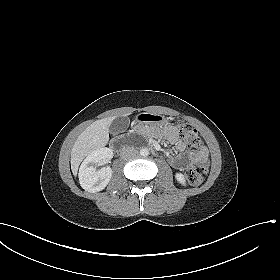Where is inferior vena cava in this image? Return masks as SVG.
Segmentation results:
<instances>
[{"instance_id": "602c4592", "label": "inferior vena cava", "mask_w": 280, "mask_h": 280, "mask_svg": "<svg viewBox=\"0 0 280 280\" xmlns=\"http://www.w3.org/2000/svg\"><path fill=\"white\" fill-rule=\"evenodd\" d=\"M138 154V150H136L133 147H126L125 149L122 150L121 152V157L123 159H129Z\"/></svg>"}]
</instances>
